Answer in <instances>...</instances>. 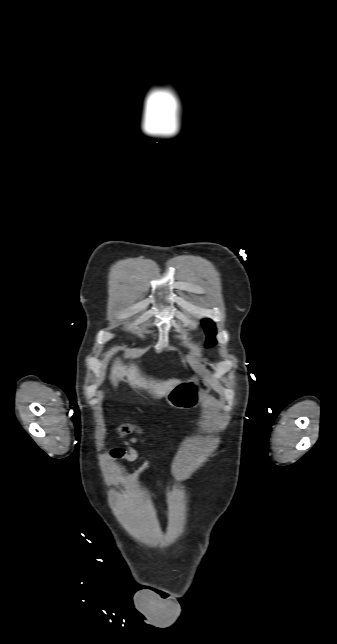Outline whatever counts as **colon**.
<instances>
[{
    "instance_id": "5ec220e1",
    "label": "colon",
    "mask_w": 337,
    "mask_h": 644,
    "mask_svg": "<svg viewBox=\"0 0 337 644\" xmlns=\"http://www.w3.org/2000/svg\"><path fill=\"white\" fill-rule=\"evenodd\" d=\"M135 430V427L132 424H123L118 428V433L121 436L128 435Z\"/></svg>"
}]
</instances>
